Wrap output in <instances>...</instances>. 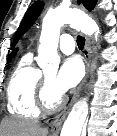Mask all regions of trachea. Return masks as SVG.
I'll return each instance as SVG.
<instances>
[{
  "instance_id": "trachea-1",
  "label": "trachea",
  "mask_w": 117,
  "mask_h": 136,
  "mask_svg": "<svg viewBox=\"0 0 117 136\" xmlns=\"http://www.w3.org/2000/svg\"><path fill=\"white\" fill-rule=\"evenodd\" d=\"M77 45H78L79 49H81V50L84 48L85 38L83 36L77 37Z\"/></svg>"
}]
</instances>
